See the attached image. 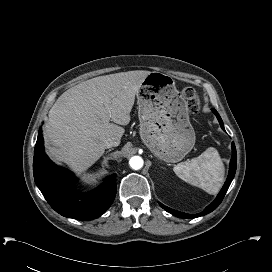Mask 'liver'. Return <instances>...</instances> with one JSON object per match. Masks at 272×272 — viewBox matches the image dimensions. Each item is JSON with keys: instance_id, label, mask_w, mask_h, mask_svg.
Instances as JSON below:
<instances>
[{"instance_id": "1", "label": "liver", "mask_w": 272, "mask_h": 272, "mask_svg": "<svg viewBox=\"0 0 272 272\" xmlns=\"http://www.w3.org/2000/svg\"><path fill=\"white\" fill-rule=\"evenodd\" d=\"M150 73L136 70L99 76L65 91L49 111L47 154L76 173L86 171L103 155L106 139L120 143L125 131L120 125L129 124L135 95Z\"/></svg>"}]
</instances>
